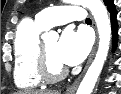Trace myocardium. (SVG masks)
Instances as JSON below:
<instances>
[{
    "label": "myocardium",
    "instance_id": "obj_1",
    "mask_svg": "<svg viewBox=\"0 0 121 94\" xmlns=\"http://www.w3.org/2000/svg\"><path fill=\"white\" fill-rule=\"evenodd\" d=\"M37 72L40 79L46 83H54L63 79L68 72L66 67L52 69L43 42L39 43L37 51Z\"/></svg>",
    "mask_w": 121,
    "mask_h": 94
}]
</instances>
